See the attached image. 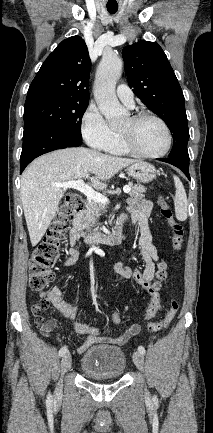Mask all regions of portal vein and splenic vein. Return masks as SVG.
Listing matches in <instances>:
<instances>
[{"label": "portal vein and splenic vein", "mask_w": 213, "mask_h": 433, "mask_svg": "<svg viewBox=\"0 0 213 433\" xmlns=\"http://www.w3.org/2000/svg\"><path fill=\"white\" fill-rule=\"evenodd\" d=\"M53 185L56 187L62 188L64 190H66L68 188L75 189V190L83 193L89 199H91L97 203L103 204V205H106L109 203V200L106 196L93 190L90 186L85 184L82 179H78L76 181L64 182V183H54ZM123 191H124V193H129L131 191V188L129 186H124Z\"/></svg>", "instance_id": "1"}]
</instances>
